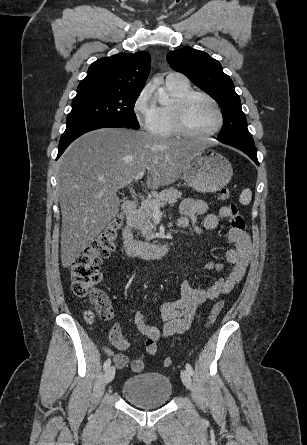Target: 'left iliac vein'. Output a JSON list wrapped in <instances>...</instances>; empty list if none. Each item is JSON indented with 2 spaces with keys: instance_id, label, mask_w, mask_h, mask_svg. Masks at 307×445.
<instances>
[{
  "instance_id": "4c4485c4",
  "label": "left iliac vein",
  "mask_w": 307,
  "mask_h": 445,
  "mask_svg": "<svg viewBox=\"0 0 307 445\" xmlns=\"http://www.w3.org/2000/svg\"><path fill=\"white\" fill-rule=\"evenodd\" d=\"M181 379H182L183 384L188 389H191V386H192L191 376H190V374L188 373L187 370H182L181 371Z\"/></svg>"
}]
</instances>
